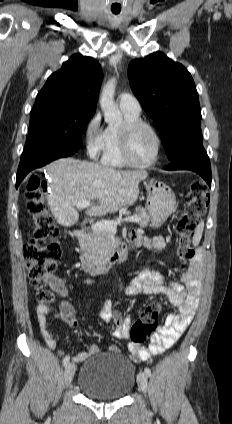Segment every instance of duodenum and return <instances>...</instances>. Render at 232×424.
I'll return each instance as SVG.
<instances>
[{"instance_id": "1", "label": "duodenum", "mask_w": 232, "mask_h": 424, "mask_svg": "<svg viewBox=\"0 0 232 424\" xmlns=\"http://www.w3.org/2000/svg\"><path fill=\"white\" fill-rule=\"evenodd\" d=\"M85 230L78 229L74 232V237L78 245V252L82 269L91 275H99L105 273L114 264L121 262L125 258L128 250L134 246H139L136 238L132 236L115 244L111 251L104 257L94 258L91 256L89 248L86 244Z\"/></svg>"}]
</instances>
